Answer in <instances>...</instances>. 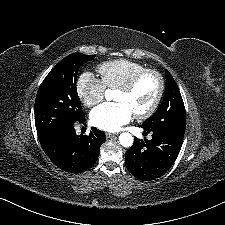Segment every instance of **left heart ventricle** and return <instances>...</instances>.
<instances>
[{"label": "left heart ventricle", "instance_id": "left-heart-ventricle-1", "mask_svg": "<svg viewBox=\"0 0 225 225\" xmlns=\"http://www.w3.org/2000/svg\"><path fill=\"white\" fill-rule=\"evenodd\" d=\"M158 89L154 75L144 76L130 93L117 90L115 101L125 104L133 114L145 111L153 102Z\"/></svg>", "mask_w": 225, "mask_h": 225}]
</instances>
